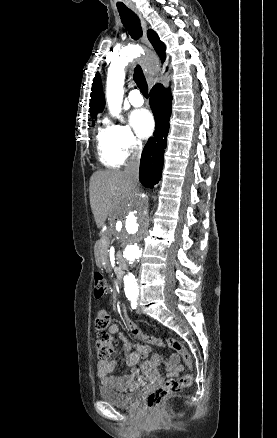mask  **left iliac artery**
I'll return each instance as SVG.
<instances>
[{"instance_id":"44dca946","label":"left iliac artery","mask_w":277,"mask_h":438,"mask_svg":"<svg viewBox=\"0 0 277 438\" xmlns=\"http://www.w3.org/2000/svg\"><path fill=\"white\" fill-rule=\"evenodd\" d=\"M128 299L130 300L132 309H135L137 307V295H130Z\"/></svg>"}]
</instances>
